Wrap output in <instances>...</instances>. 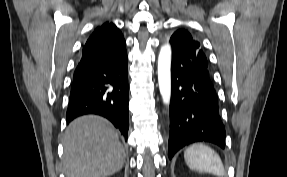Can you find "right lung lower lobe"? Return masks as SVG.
Here are the masks:
<instances>
[{"mask_svg":"<svg viewBox=\"0 0 287 177\" xmlns=\"http://www.w3.org/2000/svg\"><path fill=\"white\" fill-rule=\"evenodd\" d=\"M129 91L126 43L120 30L97 31L83 46L71 85L67 123L85 114L109 119L127 140Z\"/></svg>","mask_w":287,"mask_h":177,"instance_id":"right-lung-lower-lobe-1","label":"right lung lower lobe"}]
</instances>
